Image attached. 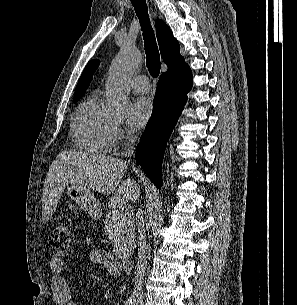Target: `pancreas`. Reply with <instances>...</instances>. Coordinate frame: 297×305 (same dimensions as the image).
<instances>
[{
  "instance_id": "obj_1",
  "label": "pancreas",
  "mask_w": 297,
  "mask_h": 305,
  "mask_svg": "<svg viewBox=\"0 0 297 305\" xmlns=\"http://www.w3.org/2000/svg\"><path fill=\"white\" fill-rule=\"evenodd\" d=\"M124 214L122 211L112 210L104 220L105 233L114 245L116 257L120 259L128 257L135 245L133 216Z\"/></svg>"
}]
</instances>
